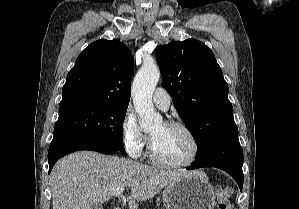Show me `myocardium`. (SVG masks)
<instances>
[{"label":"myocardium","instance_id":"1","mask_svg":"<svg viewBox=\"0 0 299 209\" xmlns=\"http://www.w3.org/2000/svg\"><path fill=\"white\" fill-rule=\"evenodd\" d=\"M164 125H166L167 127H170V128H178V129H181L182 131H184L192 141L193 152H192L191 156L184 162H179V163L167 162V161L160 159L156 155L154 146L150 139L149 145H148V156H149L151 162L156 166H159L162 168H169V169H180V168H186V167L193 165L196 162V160L198 159L199 154H200V143H199V140H198L196 134L193 132V130L189 126H187L185 123L180 122V121L168 120V121L164 122Z\"/></svg>","mask_w":299,"mask_h":209}]
</instances>
